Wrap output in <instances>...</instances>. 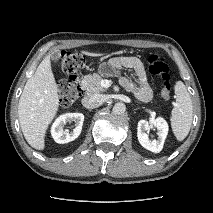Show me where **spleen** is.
<instances>
[{"label":"spleen","instance_id":"1","mask_svg":"<svg viewBox=\"0 0 213 213\" xmlns=\"http://www.w3.org/2000/svg\"><path fill=\"white\" fill-rule=\"evenodd\" d=\"M174 89L176 103L171 112V126L177 140L182 141L187 137L191 128L193 106L190 94L182 81H178Z\"/></svg>","mask_w":213,"mask_h":213}]
</instances>
